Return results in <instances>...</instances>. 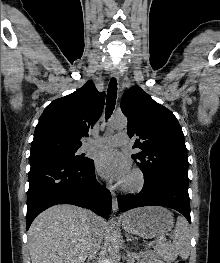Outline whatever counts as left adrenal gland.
Instances as JSON below:
<instances>
[{"mask_svg": "<svg viewBox=\"0 0 220 263\" xmlns=\"http://www.w3.org/2000/svg\"><path fill=\"white\" fill-rule=\"evenodd\" d=\"M125 236H126V240H127V241H133V240H134V238H132V237L129 236L128 234H125Z\"/></svg>", "mask_w": 220, "mask_h": 263, "instance_id": "left-adrenal-gland-1", "label": "left adrenal gland"}]
</instances>
